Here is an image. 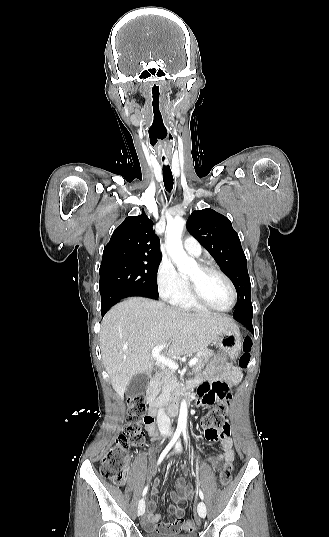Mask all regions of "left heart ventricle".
Masks as SVG:
<instances>
[{
  "label": "left heart ventricle",
  "mask_w": 329,
  "mask_h": 537,
  "mask_svg": "<svg viewBox=\"0 0 329 537\" xmlns=\"http://www.w3.org/2000/svg\"><path fill=\"white\" fill-rule=\"evenodd\" d=\"M187 278L194 283L198 293L210 305L220 309L230 306L232 301L231 290L219 275L202 272L198 265H195L187 274Z\"/></svg>",
  "instance_id": "1"
}]
</instances>
